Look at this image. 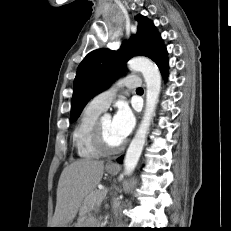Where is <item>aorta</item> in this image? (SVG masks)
<instances>
[{
  "label": "aorta",
  "mask_w": 231,
  "mask_h": 231,
  "mask_svg": "<svg viewBox=\"0 0 231 231\" xmlns=\"http://www.w3.org/2000/svg\"><path fill=\"white\" fill-rule=\"evenodd\" d=\"M128 68L142 73L146 82V104L141 123L126 152L125 174H130L139 161L161 91L160 71L150 59L146 57L133 58L128 62Z\"/></svg>",
  "instance_id": "762f6f07"
}]
</instances>
